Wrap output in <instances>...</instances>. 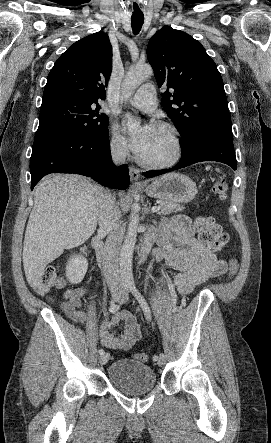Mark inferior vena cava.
<instances>
[{"label": "inferior vena cava", "instance_id": "602c4592", "mask_svg": "<svg viewBox=\"0 0 271 443\" xmlns=\"http://www.w3.org/2000/svg\"><path fill=\"white\" fill-rule=\"evenodd\" d=\"M129 154L126 142L117 140L111 144V156L114 164H123ZM120 212L116 206L115 194L107 190L102 192L101 212L99 214V231H106L108 237L102 253V267L111 296H126L119 271V251L124 237L125 227L119 223Z\"/></svg>", "mask_w": 271, "mask_h": 443}]
</instances>
